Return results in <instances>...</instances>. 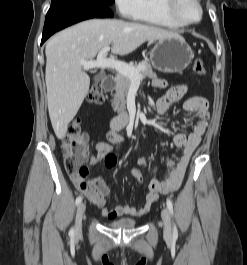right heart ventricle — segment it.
<instances>
[{
	"mask_svg": "<svg viewBox=\"0 0 247 265\" xmlns=\"http://www.w3.org/2000/svg\"><path fill=\"white\" fill-rule=\"evenodd\" d=\"M134 19L171 29L181 27L167 14L164 0H140V8Z\"/></svg>",
	"mask_w": 247,
	"mask_h": 265,
	"instance_id": "e07e8e85",
	"label": "right heart ventricle"
}]
</instances>
